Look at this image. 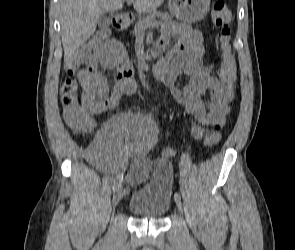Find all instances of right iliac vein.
Returning a JSON list of instances; mask_svg holds the SVG:
<instances>
[{"mask_svg": "<svg viewBox=\"0 0 295 250\" xmlns=\"http://www.w3.org/2000/svg\"><path fill=\"white\" fill-rule=\"evenodd\" d=\"M123 195H124V186L120 185L119 187L116 188V190L114 191V194H113V198H112L113 207H116V205L122 199Z\"/></svg>", "mask_w": 295, "mask_h": 250, "instance_id": "1", "label": "right iliac vein"}]
</instances>
